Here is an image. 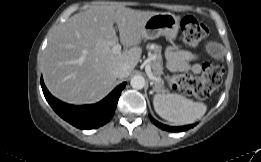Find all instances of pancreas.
<instances>
[{
    "label": "pancreas",
    "instance_id": "obj_1",
    "mask_svg": "<svg viewBox=\"0 0 261 162\" xmlns=\"http://www.w3.org/2000/svg\"><path fill=\"white\" fill-rule=\"evenodd\" d=\"M147 49L151 52L149 64L152 68V74L158 78V81H154V90L157 92H165L164 81L161 79L163 74V59L161 54V46L157 44H148Z\"/></svg>",
    "mask_w": 261,
    "mask_h": 162
}]
</instances>
